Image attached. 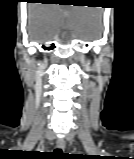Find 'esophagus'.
Instances as JSON below:
<instances>
[{
  "mask_svg": "<svg viewBox=\"0 0 134 159\" xmlns=\"http://www.w3.org/2000/svg\"><path fill=\"white\" fill-rule=\"evenodd\" d=\"M56 146L58 149L64 150L65 149V141L63 139H58L56 142Z\"/></svg>",
  "mask_w": 134,
  "mask_h": 159,
  "instance_id": "esophagus-1",
  "label": "esophagus"
}]
</instances>
